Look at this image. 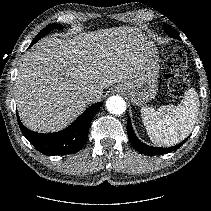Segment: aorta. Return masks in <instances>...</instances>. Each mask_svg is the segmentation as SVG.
<instances>
[{"label":"aorta","mask_w":211,"mask_h":211,"mask_svg":"<svg viewBox=\"0 0 211 211\" xmlns=\"http://www.w3.org/2000/svg\"><path fill=\"white\" fill-rule=\"evenodd\" d=\"M107 110L116 115H120L126 110V102L120 96H111L106 101Z\"/></svg>","instance_id":"1"}]
</instances>
